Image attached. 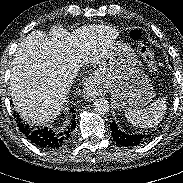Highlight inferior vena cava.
Segmentation results:
<instances>
[{
    "instance_id": "1",
    "label": "inferior vena cava",
    "mask_w": 183,
    "mask_h": 183,
    "mask_svg": "<svg viewBox=\"0 0 183 183\" xmlns=\"http://www.w3.org/2000/svg\"><path fill=\"white\" fill-rule=\"evenodd\" d=\"M80 70V65L76 62H72L68 65L67 76L71 79L75 78Z\"/></svg>"
}]
</instances>
